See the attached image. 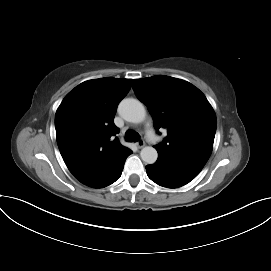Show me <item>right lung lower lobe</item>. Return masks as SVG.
Instances as JSON below:
<instances>
[{"label":"right lung lower lobe","instance_id":"1","mask_svg":"<svg viewBox=\"0 0 271 271\" xmlns=\"http://www.w3.org/2000/svg\"><path fill=\"white\" fill-rule=\"evenodd\" d=\"M130 154H132L131 150L105 177H103L102 179L88 186L93 187V188H103L114 183L116 180H118L121 176L125 160Z\"/></svg>","mask_w":271,"mask_h":271}]
</instances>
